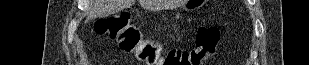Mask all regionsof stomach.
<instances>
[{
  "label": "stomach",
  "instance_id": "0dacf381",
  "mask_svg": "<svg viewBox=\"0 0 309 65\" xmlns=\"http://www.w3.org/2000/svg\"><path fill=\"white\" fill-rule=\"evenodd\" d=\"M197 2H201V1H197V0L190 1L189 4L187 5V8L194 7V4H196Z\"/></svg>",
  "mask_w": 309,
  "mask_h": 65
}]
</instances>
